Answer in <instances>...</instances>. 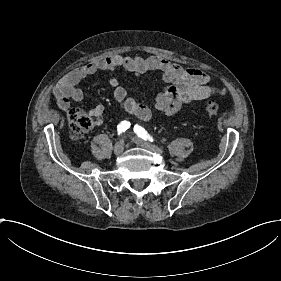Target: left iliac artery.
Here are the masks:
<instances>
[{"mask_svg":"<svg viewBox=\"0 0 281 281\" xmlns=\"http://www.w3.org/2000/svg\"><path fill=\"white\" fill-rule=\"evenodd\" d=\"M134 132L142 139L144 140H149V141H153L152 137H150V135L147 133V131H145L144 128H142L141 126L139 125H135L134 126Z\"/></svg>","mask_w":281,"mask_h":281,"instance_id":"44dca946","label":"left iliac artery"}]
</instances>
